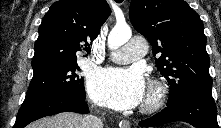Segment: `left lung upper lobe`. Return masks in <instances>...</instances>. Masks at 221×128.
<instances>
[{"label": "left lung upper lobe", "instance_id": "obj_1", "mask_svg": "<svg viewBox=\"0 0 221 128\" xmlns=\"http://www.w3.org/2000/svg\"><path fill=\"white\" fill-rule=\"evenodd\" d=\"M134 28L153 48L157 69L167 79V106L187 96L211 94L210 60L199 15L183 0H131Z\"/></svg>", "mask_w": 221, "mask_h": 128}]
</instances>
